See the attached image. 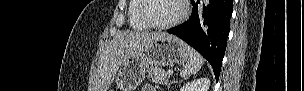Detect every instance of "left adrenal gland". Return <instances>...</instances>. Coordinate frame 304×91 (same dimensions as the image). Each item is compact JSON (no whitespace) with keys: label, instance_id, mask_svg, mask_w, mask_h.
Here are the masks:
<instances>
[{"label":"left adrenal gland","instance_id":"obj_1","mask_svg":"<svg viewBox=\"0 0 304 91\" xmlns=\"http://www.w3.org/2000/svg\"><path fill=\"white\" fill-rule=\"evenodd\" d=\"M172 83H176V82L173 81V82H171L170 84H172ZM170 84L168 85V87L170 86Z\"/></svg>","mask_w":304,"mask_h":91}]
</instances>
